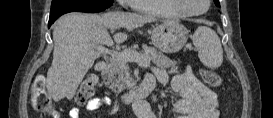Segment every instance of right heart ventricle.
<instances>
[{
	"label": "right heart ventricle",
	"mask_w": 273,
	"mask_h": 118,
	"mask_svg": "<svg viewBox=\"0 0 273 118\" xmlns=\"http://www.w3.org/2000/svg\"><path fill=\"white\" fill-rule=\"evenodd\" d=\"M139 11L169 17H182L184 14L175 7L173 0H143L134 3Z\"/></svg>",
	"instance_id": "e07e8e85"
}]
</instances>
